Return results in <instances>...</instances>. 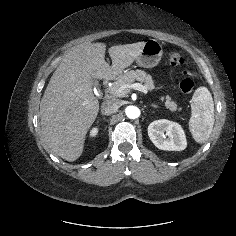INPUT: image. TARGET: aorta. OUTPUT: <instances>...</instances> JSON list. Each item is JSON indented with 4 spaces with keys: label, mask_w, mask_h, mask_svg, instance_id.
<instances>
[{
    "label": "aorta",
    "mask_w": 236,
    "mask_h": 236,
    "mask_svg": "<svg viewBox=\"0 0 236 236\" xmlns=\"http://www.w3.org/2000/svg\"><path fill=\"white\" fill-rule=\"evenodd\" d=\"M125 114L129 119H136L140 115V110L136 106H128L125 109Z\"/></svg>",
    "instance_id": "aorta-1"
}]
</instances>
